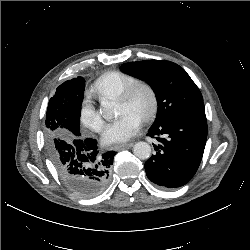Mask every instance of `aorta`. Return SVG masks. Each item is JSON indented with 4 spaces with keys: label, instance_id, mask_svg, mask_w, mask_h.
I'll return each instance as SVG.
<instances>
[{
    "label": "aorta",
    "instance_id": "1",
    "mask_svg": "<svg viewBox=\"0 0 250 250\" xmlns=\"http://www.w3.org/2000/svg\"><path fill=\"white\" fill-rule=\"evenodd\" d=\"M100 113L104 118L112 117L115 114V109L110 101H103ZM134 155L141 159H148L151 155V146L146 142H137L133 147Z\"/></svg>",
    "mask_w": 250,
    "mask_h": 250
}]
</instances>
